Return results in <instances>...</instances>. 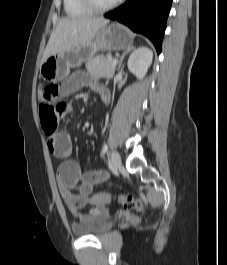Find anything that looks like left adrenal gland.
Listing matches in <instances>:
<instances>
[{
  "label": "left adrenal gland",
  "mask_w": 227,
  "mask_h": 265,
  "mask_svg": "<svg viewBox=\"0 0 227 265\" xmlns=\"http://www.w3.org/2000/svg\"><path fill=\"white\" fill-rule=\"evenodd\" d=\"M132 49H134V47H131L130 49L126 50V51L122 54V56L120 57L119 64H118V68H117L119 71H120V69H121L122 62H123L124 57H125L126 54H127L129 51H131Z\"/></svg>",
  "instance_id": "obj_1"
}]
</instances>
